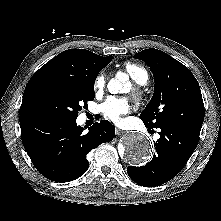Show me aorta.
Masks as SVG:
<instances>
[{"mask_svg":"<svg viewBox=\"0 0 221 221\" xmlns=\"http://www.w3.org/2000/svg\"><path fill=\"white\" fill-rule=\"evenodd\" d=\"M127 83L128 75L119 72L115 78H112L108 82L107 87L112 94L125 93ZM151 148L149 138L140 132H132L123 139L121 156L130 164L143 165L147 163L152 156Z\"/></svg>","mask_w":221,"mask_h":221,"instance_id":"obj_1","label":"aorta"}]
</instances>
